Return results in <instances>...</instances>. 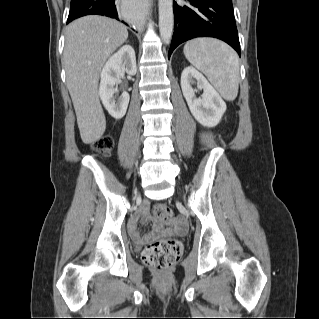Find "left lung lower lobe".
<instances>
[{
    "mask_svg": "<svg viewBox=\"0 0 319 319\" xmlns=\"http://www.w3.org/2000/svg\"><path fill=\"white\" fill-rule=\"evenodd\" d=\"M173 4L174 33L168 58L181 43L196 37H214L228 43L240 56V43L232 2L227 0H187Z\"/></svg>",
    "mask_w": 319,
    "mask_h": 319,
    "instance_id": "1",
    "label": "left lung lower lobe"
}]
</instances>
